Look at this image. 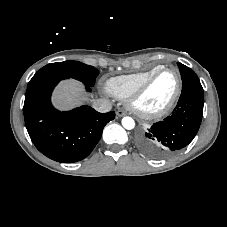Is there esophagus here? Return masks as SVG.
<instances>
[{
    "label": "esophagus",
    "instance_id": "34e87169",
    "mask_svg": "<svg viewBox=\"0 0 227 227\" xmlns=\"http://www.w3.org/2000/svg\"><path fill=\"white\" fill-rule=\"evenodd\" d=\"M125 112L123 111V110H118L117 112H116V116L117 117H123V116H125Z\"/></svg>",
    "mask_w": 227,
    "mask_h": 227
}]
</instances>
